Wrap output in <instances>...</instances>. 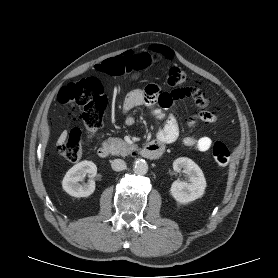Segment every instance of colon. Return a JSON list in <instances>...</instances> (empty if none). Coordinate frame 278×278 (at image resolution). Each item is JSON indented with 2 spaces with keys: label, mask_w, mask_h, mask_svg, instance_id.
<instances>
[{
  "label": "colon",
  "mask_w": 278,
  "mask_h": 278,
  "mask_svg": "<svg viewBox=\"0 0 278 278\" xmlns=\"http://www.w3.org/2000/svg\"><path fill=\"white\" fill-rule=\"evenodd\" d=\"M152 57L147 53L125 54L107 59L98 65L97 70L105 75L119 77L133 70L148 67ZM166 82L170 87L177 89L179 96H189L195 103L206 108L209 98L200 84H191L188 75L177 67H171L167 72ZM58 101L75 109H81L82 121L89 137L96 134L103 123L107 97L103 86L95 77L83 78L71 82L61 88ZM212 156L219 166H226L230 160V151L227 146L216 141L213 143ZM59 154L69 162H77L82 156V131L79 128L71 130L67 140L58 147Z\"/></svg>",
  "instance_id": "1"
}]
</instances>
